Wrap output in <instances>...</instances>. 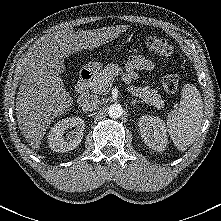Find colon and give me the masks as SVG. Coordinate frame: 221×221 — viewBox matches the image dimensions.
<instances>
[{
  "label": "colon",
  "instance_id": "5ec220e1",
  "mask_svg": "<svg viewBox=\"0 0 221 221\" xmlns=\"http://www.w3.org/2000/svg\"><path fill=\"white\" fill-rule=\"evenodd\" d=\"M144 43L148 51L157 54L163 58H169L173 54L172 45L164 38L156 35H146ZM179 78L176 74H166L162 79V85L165 91L173 93L177 90Z\"/></svg>",
  "mask_w": 221,
  "mask_h": 221
}]
</instances>
